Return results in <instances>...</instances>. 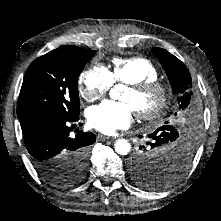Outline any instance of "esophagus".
<instances>
[{
	"label": "esophagus",
	"instance_id": "esophagus-1",
	"mask_svg": "<svg viewBox=\"0 0 221 221\" xmlns=\"http://www.w3.org/2000/svg\"><path fill=\"white\" fill-rule=\"evenodd\" d=\"M98 138L101 140V141H106V140H111L112 138L108 137V136H104V135H99Z\"/></svg>",
	"mask_w": 221,
	"mask_h": 221
}]
</instances>
